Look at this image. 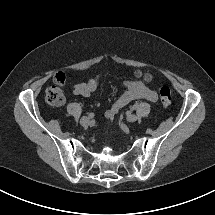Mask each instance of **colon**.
I'll list each match as a JSON object with an SVG mask.
<instances>
[{"instance_id": "1", "label": "colon", "mask_w": 215, "mask_h": 215, "mask_svg": "<svg viewBox=\"0 0 215 215\" xmlns=\"http://www.w3.org/2000/svg\"><path fill=\"white\" fill-rule=\"evenodd\" d=\"M138 77H143L147 80L150 79V76L147 74H143L141 72H137ZM66 83V76L63 73H58L54 77V85L49 87L46 90L45 94V101L47 104L51 106H59L62 105L65 101V94L63 91V87ZM159 96H160V101L163 105L167 106L171 103L172 100V93L171 90L166 87L160 85L159 87Z\"/></svg>"}]
</instances>
